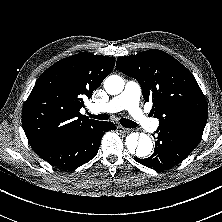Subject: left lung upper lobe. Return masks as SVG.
I'll return each mask as SVG.
<instances>
[{
    "mask_svg": "<svg viewBox=\"0 0 222 222\" xmlns=\"http://www.w3.org/2000/svg\"><path fill=\"white\" fill-rule=\"evenodd\" d=\"M117 70L138 80L151 113L160 124H177L204 130L208 107L191 72L169 54L156 49L120 57Z\"/></svg>",
    "mask_w": 222,
    "mask_h": 222,
    "instance_id": "5c2ea615",
    "label": "left lung upper lobe"
}]
</instances>
